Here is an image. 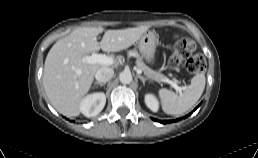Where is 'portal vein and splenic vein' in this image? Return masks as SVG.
I'll use <instances>...</instances> for the list:
<instances>
[{
  "label": "portal vein and splenic vein",
  "mask_w": 258,
  "mask_h": 158,
  "mask_svg": "<svg viewBox=\"0 0 258 158\" xmlns=\"http://www.w3.org/2000/svg\"><path fill=\"white\" fill-rule=\"evenodd\" d=\"M84 60L87 63H99V64H104V65H112L114 63V59L112 57H108L106 55L97 54V53H92L90 56H86L84 58ZM136 72L138 74H141L142 70L136 69ZM162 82H166V83L170 84L179 93H181L182 90L185 89V87L178 86L176 82L169 80L166 77L162 79Z\"/></svg>",
  "instance_id": "1"
}]
</instances>
